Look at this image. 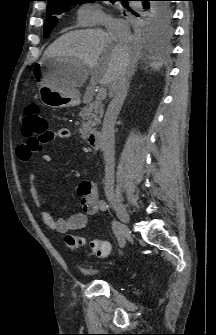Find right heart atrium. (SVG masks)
Masks as SVG:
<instances>
[{
	"label": "right heart atrium",
	"instance_id": "right-heart-atrium-1",
	"mask_svg": "<svg viewBox=\"0 0 216 335\" xmlns=\"http://www.w3.org/2000/svg\"><path fill=\"white\" fill-rule=\"evenodd\" d=\"M77 19L82 26H100L111 22V17L94 3L82 4L77 10Z\"/></svg>",
	"mask_w": 216,
	"mask_h": 335
}]
</instances>
